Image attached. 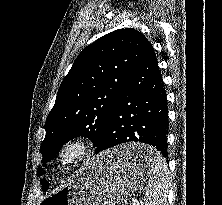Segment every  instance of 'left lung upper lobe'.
Listing matches in <instances>:
<instances>
[{
    "label": "left lung upper lobe",
    "mask_w": 222,
    "mask_h": 205,
    "mask_svg": "<svg viewBox=\"0 0 222 205\" xmlns=\"http://www.w3.org/2000/svg\"><path fill=\"white\" fill-rule=\"evenodd\" d=\"M147 43L137 30L119 29L78 55L46 119V136L40 148L43 163L52 160L62 145L77 136L88 137L96 146ZM38 173H42L40 167ZM41 184L46 191L48 181L41 179Z\"/></svg>",
    "instance_id": "left-lung-upper-lobe-1"
}]
</instances>
